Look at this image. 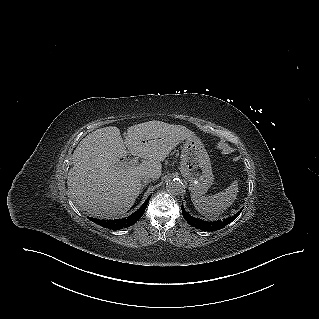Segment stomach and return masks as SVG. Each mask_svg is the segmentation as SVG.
Returning <instances> with one entry per match:
<instances>
[{
	"instance_id": "obj_1",
	"label": "stomach",
	"mask_w": 319,
	"mask_h": 319,
	"mask_svg": "<svg viewBox=\"0 0 319 319\" xmlns=\"http://www.w3.org/2000/svg\"><path fill=\"white\" fill-rule=\"evenodd\" d=\"M180 171L189 181V190L202 195L210 188L214 177L209 155L201 140L195 135L185 139L181 151Z\"/></svg>"
}]
</instances>
